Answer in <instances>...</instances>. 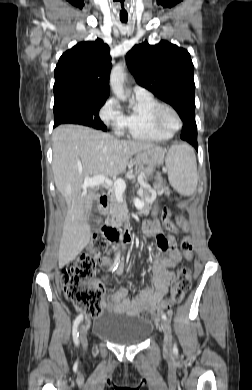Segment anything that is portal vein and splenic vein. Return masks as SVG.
Wrapping results in <instances>:
<instances>
[{"label":"portal vein and splenic vein","mask_w":252,"mask_h":390,"mask_svg":"<svg viewBox=\"0 0 252 390\" xmlns=\"http://www.w3.org/2000/svg\"><path fill=\"white\" fill-rule=\"evenodd\" d=\"M103 183H105L109 187L113 186L115 193L118 196H121L126 188V184H125L124 180L117 179L115 182H113L108 177L101 175V174L94 176L92 178H90V177L85 178L82 187H83V189L93 188V187L100 186ZM141 192H142V189H140L138 191L139 194ZM134 203H135V206L137 208H142L144 206V202L139 200L138 198L134 199Z\"/></svg>","instance_id":"obj_1"}]
</instances>
